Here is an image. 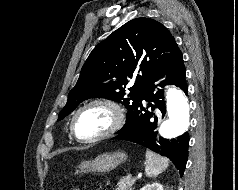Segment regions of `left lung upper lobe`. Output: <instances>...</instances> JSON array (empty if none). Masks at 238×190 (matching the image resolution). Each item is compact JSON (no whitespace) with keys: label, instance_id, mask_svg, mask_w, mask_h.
<instances>
[{"label":"left lung upper lobe","instance_id":"left-lung-upper-lobe-1","mask_svg":"<svg viewBox=\"0 0 238 190\" xmlns=\"http://www.w3.org/2000/svg\"><path fill=\"white\" fill-rule=\"evenodd\" d=\"M178 51L175 39L160 22L142 17L127 22L90 53L58 120L96 97L124 104L128 119L149 79ZM129 79L132 86L126 93Z\"/></svg>","mask_w":238,"mask_h":190}]
</instances>
